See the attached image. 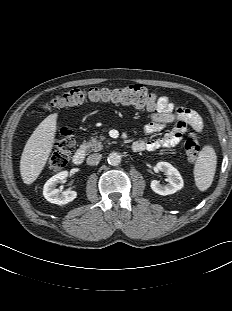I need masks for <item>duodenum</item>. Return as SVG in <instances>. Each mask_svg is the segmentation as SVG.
Wrapping results in <instances>:
<instances>
[{"mask_svg": "<svg viewBox=\"0 0 232 311\" xmlns=\"http://www.w3.org/2000/svg\"><path fill=\"white\" fill-rule=\"evenodd\" d=\"M144 143L143 142H134L133 145H132V148L134 151L136 152H139V151H142L144 149ZM85 154H86V151L84 148H79L73 155V162L76 164V165H79V164H82L84 162V159H85Z\"/></svg>", "mask_w": 232, "mask_h": 311, "instance_id": "obj_1", "label": "duodenum"}]
</instances>
